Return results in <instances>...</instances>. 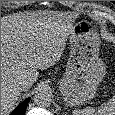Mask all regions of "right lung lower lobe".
<instances>
[{"mask_svg": "<svg viewBox=\"0 0 115 115\" xmlns=\"http://www.w3.org/2000/svg\"><path fill=\"white\" fill-rule=\"evenodd\" d=\"M30 98L25 99L10 115H25Z\"/></svg>", "mask_w": 115, "mask_h": 115, "instance_id": "obj_1", "label": "right lung lower lobe"}]
</instances>
